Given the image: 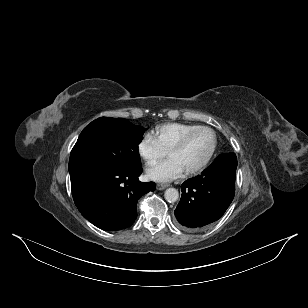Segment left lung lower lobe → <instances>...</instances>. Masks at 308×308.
<instances>
[{
	"label": "left lung lower lobe",
	"mask_w": 308,
	"mask_h": 308,
	"mask_svg": "<svg viewBox=\"0 0 308 308\" xmlns=\"http://www.w3.org/2000/svg\"><path fill=\"white\" fill-rule=\"evenodd\" d=\"M235 153L219 155L202 174L185 181L175 210L178 223L197 231L221 218L235 194Z\"/></svg>",
	"instance_id": "0a47b994"
}]
</instances>
